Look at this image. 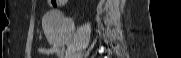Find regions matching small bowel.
<instances>
[{
  "label": "small bowel",
  "mask_w": 181,
  "mask_h": 58,
  "mask_svg": "<svg viewBox=\"0 0 181 58\" xmlns=\"http://www.w3.org/2000/svg\"><path fill=\"white\" fill-rule=\"evenodd\" d=\"M50 4L52 6H57L58 2L57 1H49ZM37 51L41 54H45V55H50V54H54L56 58H60L61 57V50L58 46H52L50 48H44V47H38Z\"/></svg>",
  "instance_id": "1"
}]
</instances>
